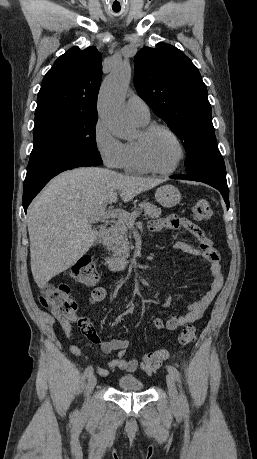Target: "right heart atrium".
I'll return each mask as SVG.
<instances>
[{"instance_id": "d8ad5b80", "label": "right heart atrium", "mask_w": 257, "mask_h": 459, "mask_svg": "<svg viewBox=\"0 0 257 459\" xmlns=\"http://www.w3.org/2000/svg\"><path fill=\"white\" fill-rule=\"evenodd\" d=\"M95 148L109 168H121L125 158V144L112 134L107 124L98 119L93 131Z\"/></svg>"}]
</instances>
